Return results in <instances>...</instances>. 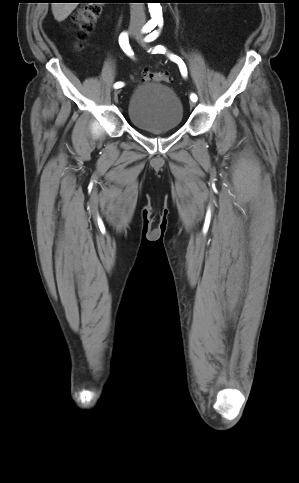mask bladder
I'll return each instance as SVG.
<instances>
[{"label": "bladder", "instance_id": "31cf9c89", "mask_svg": "<svg viewBox=\"0 0 299 483\" xmlns=\"http://www.w3.org/2000/svg\"><path fill=\"white\" fill-rule=\"evenodd\" d=\"M128 118L134 127L143 131H171L182 122L183 106L169 86L160 82L148 83L133 90Z\"/></svg>", "mask_w": 299, "mask_h": 483}]
</instances>
